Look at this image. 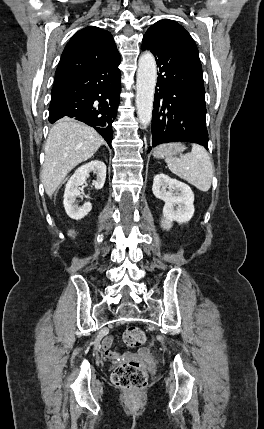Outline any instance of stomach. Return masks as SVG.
<instances>
[{"label": "stomach", "instance_id": "obj_1", "mask_svg": "<svg viewBox=\"0 0 264 429\" xmlns=\"http://www.w3.org/2000/svg\"><path fill=\"white\" fill-rule=\"evenodd\" d=\"M185 147L181 143H167L158 146L154 150V156L157 158L173 157L184 151Z\"/></svg>", "mask_w": 264, "mask_h": 429}]
</instances>
